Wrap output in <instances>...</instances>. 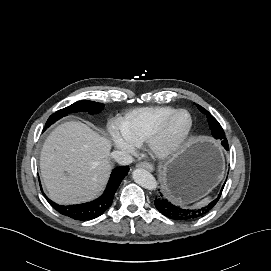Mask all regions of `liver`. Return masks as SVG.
<instances>
[{
	"instance_id": "obj_1",
	"label": "liver",
	"mask_w": 271,
	"mask_h": 271,
	"mask_svg": "<svg viewBox=\"0 0 271 271\" xmlns=\"http://www.w3.org/2000/svg\"><path fill=\"white\" fill-rule=\"evenodd\" d=\"M110 141L81 122H66L47 137L40 168L49 197L58 204L88 201L110 175Z\"/></svg>"
}]
</instances>
